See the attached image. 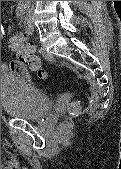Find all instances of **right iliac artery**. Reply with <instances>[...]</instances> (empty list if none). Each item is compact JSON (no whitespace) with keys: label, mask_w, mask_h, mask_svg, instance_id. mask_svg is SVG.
Returning <instances> with one entry per match:
<instances>
[{"label":"right iliac artery","mask_w":121,"mask_h":169,"mask_svg":"<svg viewBox=\"0 0 121 169\" xmlns=\"http://www.w3.org/2000/svg\"><path fill=\"white\" fill-rule=\"evenodd\" d=\"M24 14V7L23 5L19 4L16 8V18L19 19V18H22Z\"/></svg>","instance_id":"right-iliac-artery-1"}]
</instances>
